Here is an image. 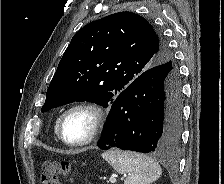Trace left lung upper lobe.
<instances>
[{
    "mask_svg": "<svg viewBox=\"0 0 224 184\" xmlns=\"http://www.w3.org/2000/svg\"><path fill=\"white\" fill-rule=\"evenodd\" d=\"M173 56L149 22L119 12L91 22L72 38L46 93L41 112L75 101L107 107L140 74Z\"/></svg>",
    "mask_w": 224,
    "mask_h": 184,
    "instance_id": "left-lung-upper-lobe-1",
    "label": "left lung upper lobe"
}]
</instances>
